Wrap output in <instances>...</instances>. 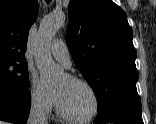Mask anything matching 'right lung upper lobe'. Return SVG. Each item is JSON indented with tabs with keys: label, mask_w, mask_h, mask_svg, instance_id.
<instances>
[{
	"label": "right lung upper lobe",
	"mask_w": 156,
	"mask_h": 124,
	"mask_svg": "<svg viewBox=\"0 0 156 124\" xmlns=\"http://www.w3.org/2000/svg\"><path fill=\"white\" fill-rule=\"evenodd\" d=\"M37 13V0H0V61L25 62L28 33Z\"/></svg>",
	"instance_id": "cb5924a9"
}]
</instances>
